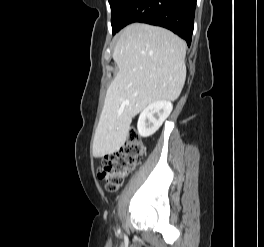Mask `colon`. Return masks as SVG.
I'll use <instances>...</instances> for the list:
<instances>
[{
    "instance_id": "5ec220e1",
    "label": "colon",
    "mask_w": 264,
    "mask_h": 247,
    "mask_svg": "<svg viewBox=\"0 0 264 247\" xmlns=\"http://www.w3.org/2000/svg\"><path fill=\"white\" fill-rule=\"evenodd\" d=\"M146 147L135 132H131L121 148L102 160L98 167V177L105 181L108 192L117 191L124 179L141 163Z\"/></svg>"
}]
</instances>
